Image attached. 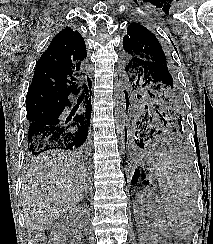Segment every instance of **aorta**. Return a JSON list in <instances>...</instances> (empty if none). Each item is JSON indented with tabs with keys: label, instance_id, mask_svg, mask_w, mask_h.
<instances>
[{
	"label": "aorta",
	"instance_id": "aorta-1",
	"mask_svg": "<svg viewBox=\"0 0 213 244\" xmlns=\"http://www.w3.org/2000/svg\"><path fill=\"white\" fill-rule=\"evenodd\" d=\"M124 82L119 80L116 83V90L114 94L115 100V112H114V122L116 132L120 137L121 142H124L125 132H126V104H125V92H124Z\"/></svg>",
	"mask_w": 213,
	"mask_h": 244
}]
</instances>
